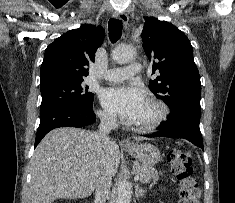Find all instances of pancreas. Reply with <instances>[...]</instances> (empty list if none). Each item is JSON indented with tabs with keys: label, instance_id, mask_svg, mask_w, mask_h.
<instances>
[{
	"label": "pancreas",
	"instance_id": "cf45deb5",
	"mask_svg": "<svg viewBox=\"0 0 235 203\" xmlns=\"http://www.w3.org/2000/svg\"><path fill=\"white\" fill-rule=\"evenodd\" d=\"M133 171L139 176L140 182L145 184L150 182L151 179L158 180L161 172H158L152 166L141 165L139 163H135L133 165Z\"/></svg>",
	"mask_w": 235,
	"mask_h": 203
}]
</instances>
